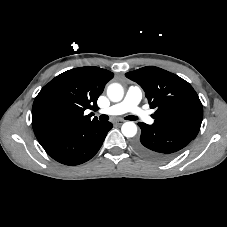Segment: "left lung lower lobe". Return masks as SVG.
<instances>
[{
	"mask_svg": "<svg viewBox=\"0 0 227 227\" xmlns=\"http://www.w3.org/2000/svg\"><path fill=\"white\" fill-rule=\"evenodd\" d=\"M140 139L134 143L135 150L144 158L154 162H164L173 157L194 138L164 127L139 122Z\"/></svg>",
	"mask_w": 227,
	"mask_h": 227,
	"instance_id": "obj_1",
	"label": "left lung lower lobe"
}]
</instances>
